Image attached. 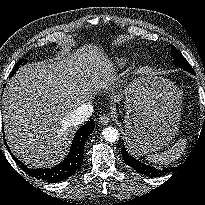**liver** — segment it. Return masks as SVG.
<instances>
[{
	"instance_id": "obj_1",
	"label": "liver",
	"mask_w": 205,
	"mask_h": 205,
	"mask_svg": "<svg viewBox=\"0 0 205 205\" xmlns=\"http://www.w3.org/2000/svg\"><path fill=\"white\" fill-rule=\"evenodd\" d=\"M112 72L95 49L68 55L55 64L22 66L3 98L5 132L12 152L35 164L63 157L71 143L68 115L93 89L116 80H111Z\"/></svg>"
}]
</instances>
